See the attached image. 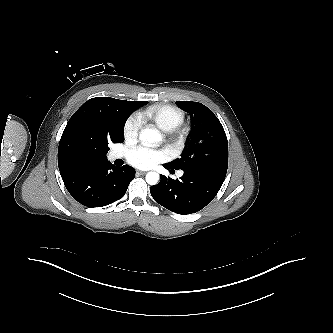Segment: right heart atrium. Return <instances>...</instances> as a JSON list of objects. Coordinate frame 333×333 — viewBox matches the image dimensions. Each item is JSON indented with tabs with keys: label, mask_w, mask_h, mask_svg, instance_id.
<instances>
[{
	"label": "right heart atrium",
	"mask_w": 333,
	"mask_h": 333,
	"mask_svg": "<svg viewBox=\"0 0 333 333\" xmlns=\"http://www.w3.org/2000/svg\"><path fill=\"white\" fill-rule=\"evenodd\" d=\"M141 118L138 114L130 115L123 126V135L126 141L134 142L141 129Z\"/></svg>",
	"instance_id": "1"
}]
</instances>
